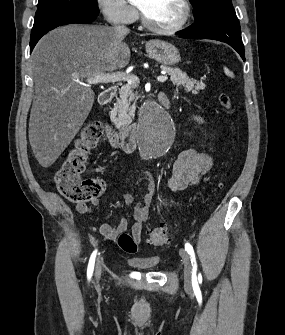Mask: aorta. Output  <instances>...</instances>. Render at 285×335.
<instances>
[{
    "label": "aorta",
    "mask_w": 285,
    "mask_h": 335,
    "mask_svg": "<svg viewBox=\"0 0 285 335\" xmlns=\"http://www.w3.org/2000/svg\"><path fill=\"white\" fill-rule=\"evenodd\" d=\"M140 110V125L134 127V134L140 137L138 147H144L142 154L148 160H159L160 156H166L169 147H175L177 119H170V112H164L159 100H144Z\"/></svg>",
    "instance_id": "obj_1"
}]
</instances>
